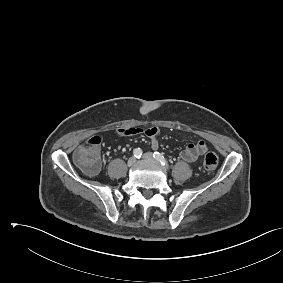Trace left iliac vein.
Masks as SVG:
<instances>
[{"mask_svg":"<svg viewBox=\"0 0 283 283\" xmlns=\"http://www.w3.org/2000/svg\"><path fill=\"white\" fill-rule=\"evenodd\" d=\"M142 158L145 160H154V157L150 152L143 154Z\"/></svg>","mask_w":283,"mask_h":283,"instance_id":"4c4485c4","label":"left iliac vein"}]
</instances>
